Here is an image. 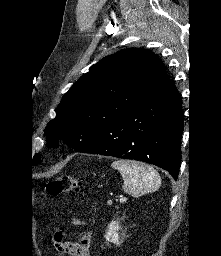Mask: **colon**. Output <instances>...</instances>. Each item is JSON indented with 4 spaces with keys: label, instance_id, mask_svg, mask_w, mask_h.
I'll return each instance as SVG.
<instances>
[{
    "label": "colon",
    "instance_id": "1",
    "mask_svg": "<svg viewBox=\"0 0 221 256\" xmlns=\"http://www.w3.org/2000/svg\"><path fill=\"white\" fill-rule=\"evenodd\" d=\"M44 186L48 194L60 195L79 191L82 188L83 183L78 178L72 176H61L54 180L48 181ZM54 242L59 251H64L62 248L63 234L61 232H58L55 235Z\"/></svg>",
    "mask_w": 221,
    "mask_h": 256
}]
</instances>
